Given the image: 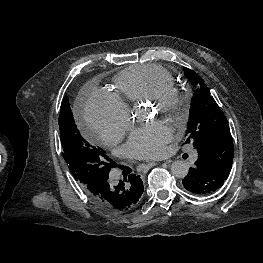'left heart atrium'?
Wrapping results in <instances>:
<instances>
[{
	"label": "left heart atrium",
	"mask_w": 263,
	"mask_h": 263,
	"mask_svg": "<svg viewBox=\"0 0 263 263\" xmlns=\"http://www.w3.org/2000/svg\"><path fill=\"white\" fill-rule=\"evenodd\" d=\"M172 135V129L167 124L154 122L135 130L124 149L127 154L137 159L158 158L164 153Z\"/></svg>",
	"instance_id": "left-heart-atrium-1"
}]
</instances>
